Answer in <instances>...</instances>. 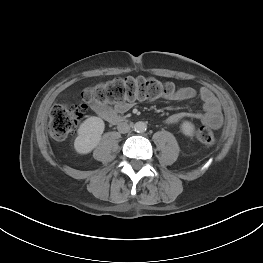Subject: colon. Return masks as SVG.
Instances as JSON below:
<instances>
[{"label": "colon", "mask_w": 263, "mask_h": 263, "mask_svg": "<svg viewBox=\"0 0 263 263\" xmlns=\"http://www.w3.org/2000/svg\"><path fill=\"white\" fill-rule=\"evenodd\" d=\"M171 82H161L151 77L118 78L86 89L83 98L88 103L122 104L135 100H155L171 97L177 92ZM83 116L80 105H55L50 112L49 132L58 140L66 138ZM197 138L205 145H214L216 136L205 125L198 127Z\"/></svg>", "instance_id": "obj_1"}]
</instances>
